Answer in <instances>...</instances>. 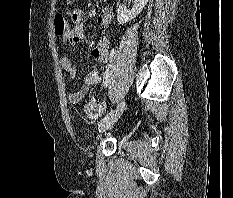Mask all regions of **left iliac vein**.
I'll return each mask as SVG.
<instances>
[{"instance_id":"left-iliac-vein-1","label":"left iliac vein","mask_w":233,"mask_h":198,"mask_svg":"<svg viewBox=\"0 0 233 198\" xmlns=\"http://www.w3.org/2000/svg\"><path fill=\"white\" fill-rule=\"evenodd\" d=\"M125 108V102L122 100L115 111L106 119L102 120L100 124L98 125V131L105 132L107 129H109L117 120L120 118L123 110Z\"/></svg>"}]
</instances>
